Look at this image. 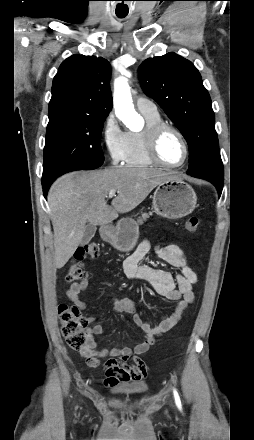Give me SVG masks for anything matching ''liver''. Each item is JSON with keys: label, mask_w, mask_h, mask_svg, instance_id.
<instances>
[{"label": "liver", "mask_w": 254, "mask_h": 440, "mask_svg": "<svg viewBox=\"0 0 254 440\" xmlns=\"http://www.w3.org/2000/svg\"><path fill=\"white\" fill-rule=\"evenodd\" d=\"M177 178L152 168L115 167L59 177L48 192L54 230L55 266L62 268L80 245L86 223L104 225L142 203L161 182ZM117 196L111 206L109 191Z\"/></svg>", "instance_id": "obj_1"}]
</instances>
